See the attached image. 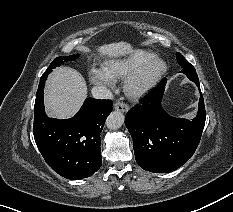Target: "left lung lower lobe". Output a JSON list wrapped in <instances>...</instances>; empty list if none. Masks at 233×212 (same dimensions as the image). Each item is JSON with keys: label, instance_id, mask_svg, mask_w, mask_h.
<instances>
[{"label": "left lung lower lobe", "instance_id": "1", "mask_svg": "<svg viewBox=\"0 0 233 212\" xmlns=\"http://www.w3.org/2000/svg\"><path fill=\"white\" fill-rule=\"evenodd\" d=\"M200 91L199 111L192 120L169 116L161 101L166 78L149 92L140 105L130 109L125 117L134 145L136 162L150 172L167 173L186 163L194 154L205 125L206 112L196 71H185Z\"/></svg>", "mask_w": 233, "mask_h": 212}]
</instances>
